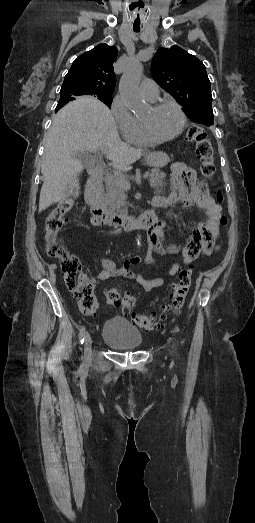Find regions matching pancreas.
Wrapping results in <instances>:
<instances>
[{"label": "pancreas", "mask_w": 255, "mask_h": 523, "mask_svg": "<svg viewBox=\"0 0 255 523\" xmlns=\"http://www.w3.org/2000/svg\"><path fill=\"white\" fill-rule=\"evenodd\" d=\"M124 180L128 182V178L125 174H113V176L107 174L105 178L107 208L109 212H112L115 216H120L123 212H127V202H125L127 196L123 188ZM164 180V172H160V170H152L150 174V184L152 188H154L155 194H160L163 186H166Z\"/></svg>", "instance_id": "cf45deb5"}]
</instances>
